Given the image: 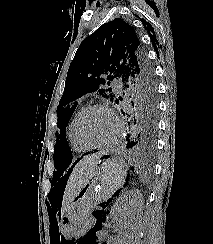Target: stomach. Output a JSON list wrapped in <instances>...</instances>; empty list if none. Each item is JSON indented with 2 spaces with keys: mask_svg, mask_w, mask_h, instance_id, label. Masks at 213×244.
I'll use <instances>...</instances> for the list:
<instances>
[{
  "mask_svg": "<svg viewBox=\"0 0 213 244\" xmlns=\"http://www.w3.org/2000/svg\"><path fill=\"white\" fill-rule=\"evenodd\" d=\"M122 153V149H104L92 178L61 217L60 230L63 234L71 236L87 229L93 202L109 199L123 186L127 167L120 157L113 155Z\"/></svg>",
  "mask_w": 213,
  "mask_h": 244,
  "instance_id": "obj_1",
  "label": "stomach"
}]
</instances>
